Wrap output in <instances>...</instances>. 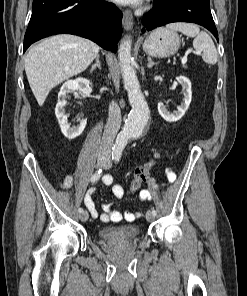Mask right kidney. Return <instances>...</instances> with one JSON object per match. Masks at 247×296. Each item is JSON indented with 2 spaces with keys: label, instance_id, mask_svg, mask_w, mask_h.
Segmentation results:
<instances>
[{
  "label": "right kidney",
  "instance_id": "1",
  "mask_svg": "<svg viewBox=\"0 0 247 296\" xmlns=\"http://www.w3.org/2000/svg\"><path fill=\"white\" fill-rule=\"evenodd\" d=\"M77 90L87 95L90 94L92 92L90 81L81 77L66 81L58 93V102L55 108V115L61 131L68 139H74L81 135L87 124V119L80 120V124L74 127H71V124L68 122V116L65 111L68 94Z\"/></svg>",
  "mask_w": 247,
  "mask_h": 296
}]
</instances>
